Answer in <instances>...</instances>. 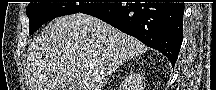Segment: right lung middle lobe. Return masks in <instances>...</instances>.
<instances>
[{"instance_id":"right-lung-middle-lobe-1","label":"right lung middle lobe","mask_w":216,"mask_h":90,"mask_svg":"<svg viewBox=\"0 0 216 90\" xmlns=\"http://www.w3.org/2000/svg\"><path fill=\"white\" fill-rule=\"evenodd\" d=\"M103 4L105 3H29L26 8V14L30 20V34L34 33L44 23L56 17L82 13Z\"/></svg>"}]
</instances>
